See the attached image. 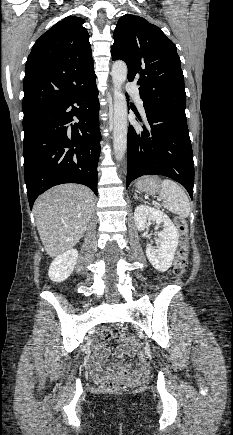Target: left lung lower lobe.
Returning <instances> with one entry per match:
<instances>
[{"mask_svg": "<svg viewBox=\"0 0 233 435\" xmlns=\"http://www.w3.org/2000/svg\"><path fill=\"white\" fill-rule=\"evenodd\" d=\"M144 109L150 129L128 128L126 186L143 175H163L182 184L192 199L194 162L185 113Z\"/></svg>", "mask_w": 233, "mask_h": 435, "instance_id": "1", "label": "left lung lower lobe"}]
</instances>
